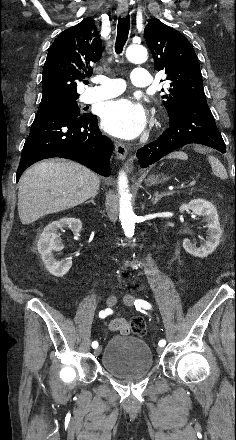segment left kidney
<instances>
[{
    "instance_id": "1",
    "label": "left kidney",
    "mask_w": 236,
    "mask_h": 440,
    "mask_svg": "<svg viewBox=\"0 0 236 440\" xmlns=\"http://www.w3.org/2000/svg\"><path fill=\"white\" fill-rule=\"evenodd\" d=\"M188 209H190L195 215L205 217L208 237L206 238L205 243L199 248L186 238L183 240V248L195 257L205 258L213 253L219 245L222 236V229L220 227L217 210L212 203L204 199H194L188 204H182L179 211L184 212Z\"/></svg>"
}]
</instances>
